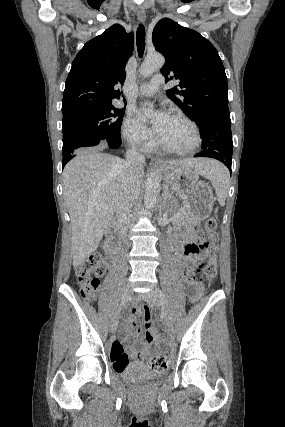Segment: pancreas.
Segmentation results:
<instances>
[{"mask_svg":"<svg viewBox=\"0 0 285 427\" xmlns=\"http://www.w3.org/2000/svg\"><path fill=\"white\" fill-rule=\"evenodd\" d=\"M170 212L172 213V220L173 221H182L185 218H188L187 209L184 206V208H177L176 210L170 209ZM176 212L179 213V215L176 214Z\"/></svg>","mask_w":285,"mask_h":427,"instance_id":"pancreas-1","label":"pancreas"}]
</instances>
